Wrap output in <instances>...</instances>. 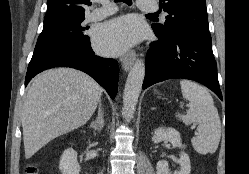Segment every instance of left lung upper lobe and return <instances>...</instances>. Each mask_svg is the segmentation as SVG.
Masks as SVG:
<instances>
[{
	"label": "left lung upper lobe",
	"instance_id": "left-lung-upper-lobe-1",
	"mask_svg": "<svg viewBox=\"0 0 249 174\" xmlns=\"http://www.w3.org/2000/svg\"><path fill=\"white\" fill-rule=\"evenodd\" d=\"M160 3L168 15L164 25H152L155 34L168 40L211 36L205 0H160Z\"/></svg>",
	"mask_w": 249,
	"mask_h": 174
}]
</instances>
